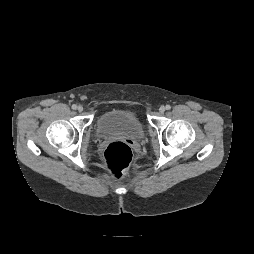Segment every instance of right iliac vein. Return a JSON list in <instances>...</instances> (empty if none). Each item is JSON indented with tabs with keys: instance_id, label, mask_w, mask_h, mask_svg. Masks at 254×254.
<instances>
[{
	"instance_id": "63e3f726",
	"label": "right iliac vein",
	"mask_w": 254,
	"mask_h": 254,
	"mask_svg": "<svg viewBox=\"0 0 254 254\" xmlns=\"http://www.w3.org/2000/svg\"><path fill=\"white\" fill-rule=\"evenodd\" d=\"M77 110H78L79 112H82V111H83V106L79 105V106L77 107Z\"/></svg>"
}]
</instances>
